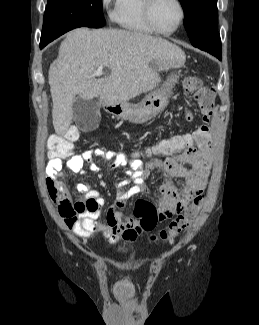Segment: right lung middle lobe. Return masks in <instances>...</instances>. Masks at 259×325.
<instances>
[{
    "label": "right lung middle lobe",
    "mask_w": 259,
    "mask_h": 325,
    "mask_svg": "<svg viewBox=\"0 0 259 325\" xmlns=\"http://www.w3.org/2000/svg\"><path fill=\"white\" fill-rule=\"evenodd\" d=\"M105 24L102 0H47L40 43L48 44L74 28Z\"/></svg>",
    "instance_id": "right-lung-middle-lobe-1"
}]
</instances>
